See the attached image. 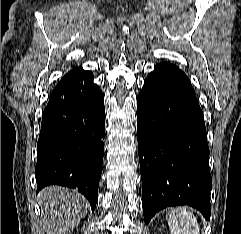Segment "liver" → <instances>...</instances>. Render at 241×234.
I'll use <instances>...</instances> for the list:
<instances>
[{
  "instance_id": "6515ba94",
  "label": "liver",
  "mask_w": 241,
  "mask_h": 234,
  "mask_svg": "<svg viewBox=\"0 0 241 234\" xmlns=\"http://www.w3.org/2000/svg\"><path fill=\"white\" fill-rule=\"evenodd\" d=\"M41 230L47 234H67L88 212V202L76 190L49 186L39 194Z\"/></svg>"
}]
</instances>
